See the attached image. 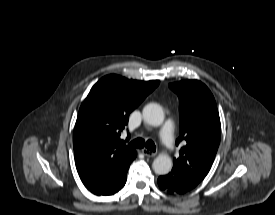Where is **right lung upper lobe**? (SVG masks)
<instances>
[{"mask_svg": "<svg viewBox=\"0 0 275 215\" xmlns=\"http://www.w3.org/2000/svg\"><path fill=\"white\" fill-rule=\"evenodd\" d=\"M159 83L107 75L92 87L80 107L73 133L75 163L81 180L135 156L136 151L120 140V134L129 114Z\"/></svg>", "mask_w": 275, "mask_h": 215, "instance_id": "1", "label": "right lung upper lobe"}]
</instances>
